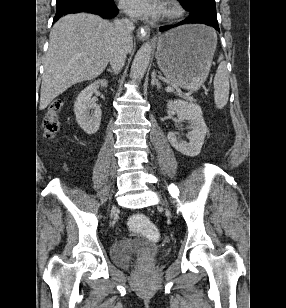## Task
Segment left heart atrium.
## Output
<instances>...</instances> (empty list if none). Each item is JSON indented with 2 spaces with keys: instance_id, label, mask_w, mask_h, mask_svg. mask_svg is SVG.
<instances>
[{
  "instance_id": "39dd6f15",
  "label": "left heart atrium",
  "mask_w": 286,
  "mask_h": 308,
  "mask_svg": "<svg viewBox=\"0 0 286 308\" xmlns=\"http://www.w3.org/2000/svg\"><path fill=\"white\" fill-rule=\"evenodd\" d=\"M120 4L128 14L137 18L156 17L162 12L158 0H120Z\"/></svg>"
}]
</instances>
